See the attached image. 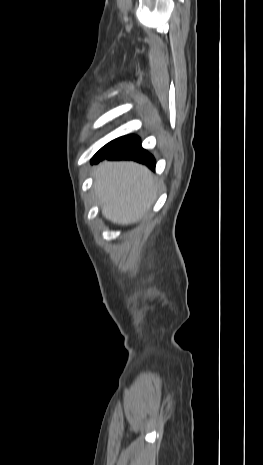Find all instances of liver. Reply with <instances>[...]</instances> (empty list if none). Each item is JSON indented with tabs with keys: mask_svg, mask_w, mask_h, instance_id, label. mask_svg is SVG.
Returning a JSON list of instances; mask_svg holds the SVG:
<instances>
[{
	"mask_svg": "<svg viewBox=\"0 0 263 465\" xmlns=\"http://www.w3.org/2000/svg\"><path fill=\"white\" fill-rule=\"evenodd\" d=\"M94 189L103 216L114 224L141 220L155 202L157 184L151 171L132 161H104L95 171Z\"/></svg>",
	"mask_w": 263,
	"mask_h": 465,
	"instance_id": "obj_1",
	"label": "liver"
}]
</instances>
